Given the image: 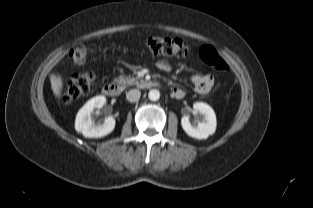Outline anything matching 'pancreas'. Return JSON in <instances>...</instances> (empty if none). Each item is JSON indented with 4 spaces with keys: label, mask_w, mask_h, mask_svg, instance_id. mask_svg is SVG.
Masks as SVG:
<instances>
[{
    "label": "pancreas",
    "mask_w": 313,
    "mask_h": 208,
    "mask_svg": "<svg viewBox=\"0 0 313 208\" xmlns=\"http://www.w3.org/2000/svg\"><path fill=\"white\" fill-rule=\"evenodd\" d=\"M116 82L122 85H136L139 83L138 78H131L125 75H120L118 79H116Z\"/></svg>",
    "instance_id": "obj_1"
}]
</instances>
